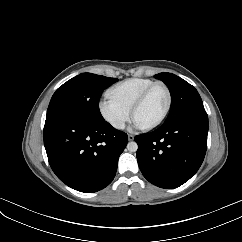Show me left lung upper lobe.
I'll list each match as a JSON object with an SVG mask.
<instances>
[{
    "instance_id": "1",
    "label": "left lung upper lobe",
    "mask_w": 242,
    "mask_h": 242,
    "mask_svg": "<svg viewBox=\"0 0 242 242\" xmlns=\"http://www.w3.org/2000/svg\"><path fill=\"white\" fill-rule=\"evenodd\" d=\"M163 81L171 93V108L165 122L194 110H205L197 90L188 82L172 73L154 76Z\"/></svg>"
}]
</instances>
